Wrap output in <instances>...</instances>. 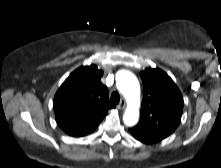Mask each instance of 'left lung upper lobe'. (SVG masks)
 <instances>
[{"mask_svg":"<svg viewBox=\"0 0 221 168\" xmlns=\"http://www.w3.org/2000/svg\"><path fill=\"white\" fill-rule=\"evenodd\" d=\"M144 86L140 122L132 130L165 139L180 123L183 97L173 80L161 69L140 72Z\"/></svg>","mask_w":221,"mask_h":168,"instance_id":"5c2ea615","label":"left lung upper lobe"}]
</instances>
